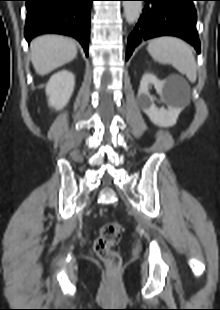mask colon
<instances>
[{"label":"colon","instance_id":"colon-1","mask_svg":"<svg viewBox=\"0 0 220 310\" xmlns=\"http://www.w3.org/2000/svg\"><path fill=\"white\" fill-rule=\"evenodd\" d=\"M122 228L117 222L104 224L94 242L96 254L103 260L110 272H117L121 266L120 255L113 249L121 240Z\"/></svg>","mask_w":220,"mask_h":310}]
</instances>
